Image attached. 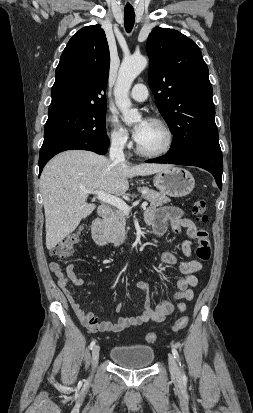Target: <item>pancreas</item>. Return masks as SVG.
<instances>
[{
    "label": "pancreas",
    "instance_id": "cf45deb5",
    "mask_svg": "<svg viewBox=\"0 0 253 413\" xmlns=\"http://www.w3.org/2000/svg\"><path fill=\"white\" fill-rule=\"evenodd\" d=\"M139 192L148 200L153 207H159L170 202V199L162 193L147 187L139 188ZM126 214L117 209L113 214L104 220V233L107 240L113 243L116 247L120 246L126 238Z\"/></svg>",
    "mask_w": 253,
    "mask_h": 413
}]
</instances>
